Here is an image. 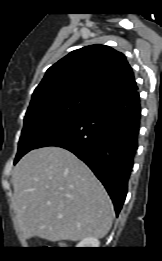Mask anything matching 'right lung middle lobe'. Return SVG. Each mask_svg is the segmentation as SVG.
Here are the masks:
<instances>
[{"instance_id": "obj_1", "label": "right lung middle lobe", "mask_w": 162, "mask_h": 261, "mask_svg": "<svg viewBox=\"0 0 162 261\" xmlns=\"http://www.w3.org/2000/svg\"><path fill=\"white\" fill-rule=\"evenodd\" d=\"M100 104L101 102L77 92L31 100L14 164L50 132Z\"/></svg>"}]
</instances>
